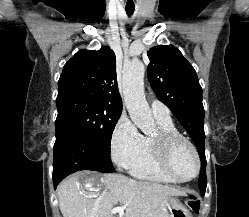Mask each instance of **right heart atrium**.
I'll list each match as a JSON object with an SVG mask.
<instances>
[{
    "label": "right heart atrium",
    "instance_id": "right-heart-atrium-1",
    "mask_svg": "<svg viewBox=\"0 0 249 217\" xmlns=\"http://www.w3.org/2000/svg\"><path fill=\"white\" fill-rule=\"evenodd\" d=\"M143 136L126 114H122L111 134L110 147L114 162L121 168H129L141 150Z\"/></svg>",
    "mask_w": 249,
    "mask_h": 217
}]
</instances>
